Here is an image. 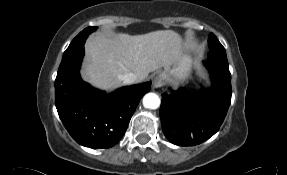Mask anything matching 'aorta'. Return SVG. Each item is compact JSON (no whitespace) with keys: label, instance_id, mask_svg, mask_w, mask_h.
Returning <instances> with one entry per match:
<instances>
[{"label":"aorta","instance_id":"obj_1","mask_svg":"<svg viewBox=\"0 0 287 175\" xmlns=\"http://www.w3.org/2000/svg\"><path fill=\"white\" fill-rule=\"evenodd\" d=\"M160 103V98L155 93H148L143 98V106L148 109H157Z\"/></svg>","mask_w":287,"mask_h":175}]
</instances>
